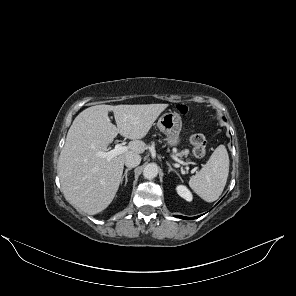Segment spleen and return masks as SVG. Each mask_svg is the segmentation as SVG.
I'll return each instance as SVG.
<instances>
[{
    "mask_svg": "<svg viewBox=\"0 0 296 296\" xmlns=\"http://www.w3.org/2000/svg\"><path fill=\"white\" fill-rule=\"evenodd\" d=\"M229 173V156L219 145L203 168L189 180L191 189L206 202H214L222 194Z\"/></svg>",
    "mask_w": 296,
    "mask_h": 296,
    "instance_id": "1",
    "label": "spleen"
}]
</instances>
